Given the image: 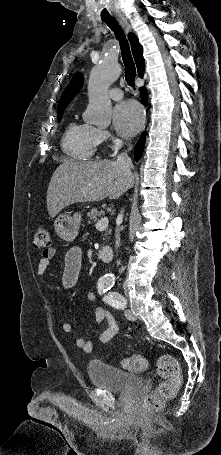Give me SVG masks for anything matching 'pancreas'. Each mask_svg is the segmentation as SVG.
<instances>
[{"label": "pancreas", "mask_w": 221, "mask_h": 455, "mask_svg": "<svg viewBox=\"0 0 221 455\" xmlns=\"http://www.w3.org/2000/svg\"><path fill=\"white\" fill-rule=\"evenodd\" d=\"M104 214L103 210H98L97 208L91 209V211L87 214V217L97 221L98 217H101Z\"/></svg>", "instance_id": "cf45deb5"}]
</instances>
